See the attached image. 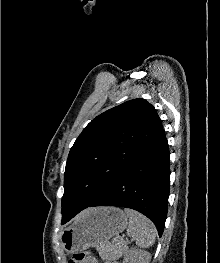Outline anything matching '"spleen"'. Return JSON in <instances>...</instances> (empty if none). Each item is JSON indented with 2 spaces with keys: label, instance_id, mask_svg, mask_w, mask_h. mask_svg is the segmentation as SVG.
Masks as SVG:
<instances>
[{
  "label": "spleen",
  "instance_id": "3e777b00",
  "mask_svg": "<svg viewBox=\"0 0 220 263\" xmlns=\"http://www.w3.org/2000/svg\"><path fill=\"white\" fill-rule=\"evenodd\" d=\"M129 218L127 235L136 241L140 248H149L155 242L156 228L154 224L139 212L125 208Z\"/></svg>",
  "mask_w": 220,
  "mask_h": 263
}]
</instances>
